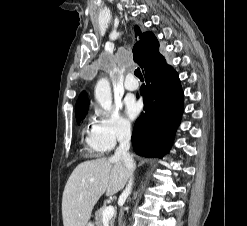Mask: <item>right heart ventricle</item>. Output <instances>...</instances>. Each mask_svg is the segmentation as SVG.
Wrapping results in <instances>:
<instances>
[{
	"mask_svg": "<svg viewBox=\"0 0 247 226\" xmlns=\"http://www.w3.org/2000/svg\"><path fill=\"white\" fill-rule=\"evenodd\" d=\"M83 146L85 154L90 157L101 156L106 151L93 140L92 127H86L83 130Z\"/></svg>",
	"mask_w": 247,
	"mask_h": 226,
	"instance_id": "right-heart-ventricle-1",
	"label": "right heart ventricle"
}]
</instances>
